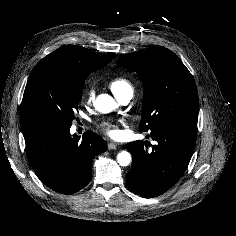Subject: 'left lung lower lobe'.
Here are the masks:
<instances>
[{
    "mask_svg": "<svg viewBox=\"0 0 236 236\" xmlns=\"http://www.w3.org/2000/svg\"><path fill=\"white\" fill-rule=\"evenodd\" d=\"M197 127L186 124H168L150 131L156 145L147 150L141 140L124 148L133 161L126 181L137 194L152 198L173 187L188 167L196 143Z\"/></svg>",
    "mask_w": 236,
    "mask_h": 236,
    "instance_id": "left-lung-lower-lobe-1",
    "label": "left lung lower lobe"
}]
</instances>
